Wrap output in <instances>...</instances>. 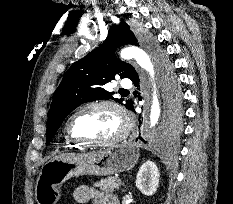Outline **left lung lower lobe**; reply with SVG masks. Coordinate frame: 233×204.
Returning a JSON list of instances; mask_svg holds the SVG:
<instances>
[{
    "mask_svg": "<svg viewBox=\"0 0 233 204\" xmlns=\"http://www.w3.org/2000/svg\"><path fill=\"white\" fill-rule=\"evenodd\" d=\"M132 80V82L135 84V86L138 88L139 87V76L138 73L136 72L134 75H132V77L130 78ZM129 110H132L135 112L134 107L132 106V104L128 107ZM166 129L170 132H176L177 129L173 126V124H169L168 122H166ZM140 140H143L142 137H139ZM144 141V140H143ZM145 142V141H144Z\"/></svg>",
    "mask_w": 233,
    "mask_h": 204,
    "instance_id": "obj_1",
    "label": "left lung lower lobe"
}]
</instances>
